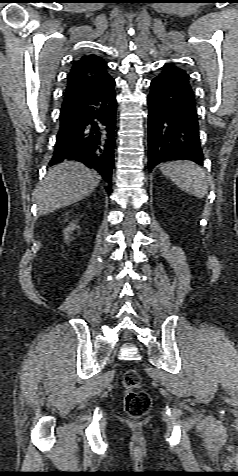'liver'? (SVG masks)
<instances>
[{
    "instance_id": "obj_1",
    "label": "liver",
    "mask_w": 238,
    "mask_h": 476,
    "mask_svg": "<svg viewBox=\"0 0 238 476\" xmlns=\"http://www.w3.org/2000/svg\"><path fill=\"white\" fill-rule=\"evenodd\" d=\"M100 180L96 171L75 161H64L50 168L34 193L39 215L82 200L95 190Z\"/></svg>"
}]
</instances>
